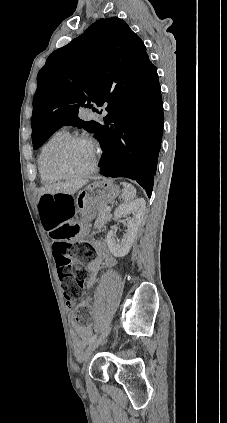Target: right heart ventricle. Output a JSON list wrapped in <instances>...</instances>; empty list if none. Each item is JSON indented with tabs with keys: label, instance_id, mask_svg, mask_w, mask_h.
<instances>
[{
	"label": "right heart ventricle",
	"instance_id": "1",
	"mask_svg": "<svg viewBox=\"0 0 227 423\" xmlns=\"http://www.w3.org/2000/svg\"><path fill=\"white\" fill-rule=\"evenodd\" d=\"M68 136V133L64 130L53 133L41 146L38 157L37 166L41 180L45 184H53L61 180V177L55 174L48 166L47 156L50 150L60 140Z\"/></svg>",
	"mask_w": 227,
	"mask_h": 423
}]
</instances>
